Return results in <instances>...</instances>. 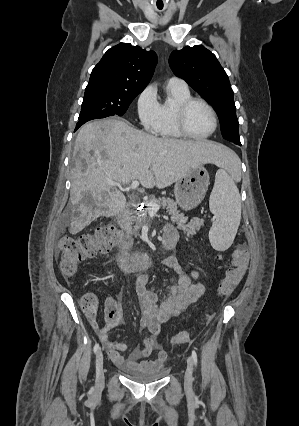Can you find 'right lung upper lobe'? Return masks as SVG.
Returning a JSON list of instances; mask_svg holds the SVG:
<instances>
[{
    "label": "right lung upper lobe",
    "instance_id": "cb5924a9",
    "mask_svg": "<svg viewBox=\"0 0 299 426\" xmlns=\"http://www.w3.org/2000/svg\"><path fill=\"white\" fill-rule=\"evenodd\" d=\"M157 64L153 51L120 43L110 48L92 70L88 85H107L129 91H143Z\"/></svg>",
    "mask_w": 299,
    "mask_h": 426
}]
</instances>
